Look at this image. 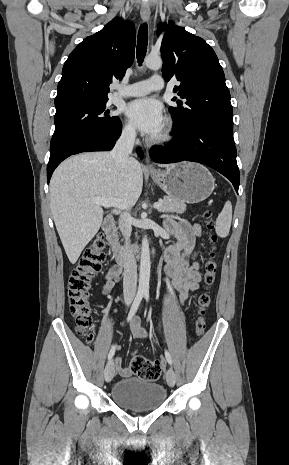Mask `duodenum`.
<instances>
[{
  "instance_id": "obj_1",
  "label": "duodenum",
  "mask_w": 289,
  "mask_h": 465,
  "mask_svg": "<svg viewBox=\"0 0 289 465\" xmlns=\"http://www.w3.org/2000/svg\"><path fill=\"white\" fill-rule=\"evenodd\" d=\"M104 233L109 244L112 257L121 266H125L131 259V253L118 242L115 221L111 216H108L104 221ZM138 253V250H136Z\"/></svg>"
}]
</instances>
